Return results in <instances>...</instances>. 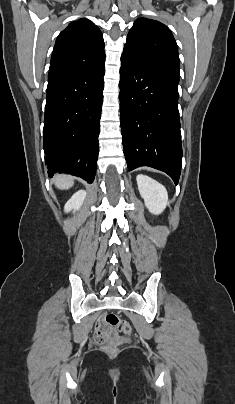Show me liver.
<instances>
[{
    "instance_id": "1",
    "label": "liver",
    "mask_w": 235,
    "mask_h": 404,
    "mask_svg": "<svg viewBox=\"0 0 235 404\" xmlns=\"http://www.w3.org/2000/svg\"><path fill=\"white\" fill-rule=\"evenodd\" d=\"M54 182L59 189H69L74 184L73 177L67 175L56 176Z\"/></svg>"
}]
</instances>
